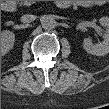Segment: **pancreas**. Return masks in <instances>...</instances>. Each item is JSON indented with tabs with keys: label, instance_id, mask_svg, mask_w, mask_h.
<instances>
[{
	"label": "pancreas",
	"instance_id": "pancreas-1",
	"mask_svg": "<svg viewBox=\"0 0 109 109\" xmlns=\"http://www.w3.org/2000/svg\"><path fill=\"white\" fill-rule=\"evenodd\" d=\"M21 4H22V5H28V6H29V5L32 4V2H21Z\"/></svg>",
	"mask_w": 109,
	"mask_h": 109
}]
</instances>
